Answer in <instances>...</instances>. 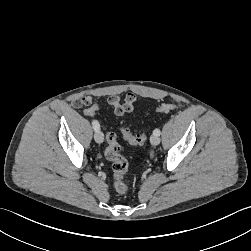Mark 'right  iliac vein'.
I'll list each match as a JSON object with an SVG mask.
<instances>
[{
  "label": "right iliac vein",
  "mask_w": 251,
  "mask_h": 251,
  "mask_svg": "<svg viewBox=\"0 0 251 251\" xmlns=\"http://www.w3.org/2000/svg\"><path fill=\"white\" fill-rule=\"evenodd\" d=\"M94 139L97 143H102L104 140L103 133L100 130L96 131L94 134Z\"/></svg>",
  "instance_id": "right-iliac-vein-1"
}]
</instances>
